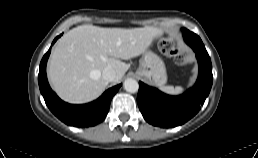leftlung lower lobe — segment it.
<instances>
[{"label": "left lung lower lobe", "mask_w": 258, "mask_h": 158, "mask_svg": "<svg viewBox=\"0 0 258 158\" xmlns=\"http://www.w3.org/2000/svg\"><path fill=\"white\" fill-rule=\"evenodd\" d=\"M185 42L194 50L199 64L196 84L180 96H169L139 82L137 103L144 119L159 127H176L197 114L211 90L213 75L210 57L198 35L183 29Z\"/></svg>", "instance_id": "0a47b994"}]
</instances>
